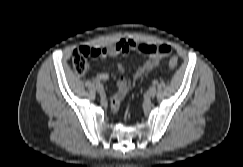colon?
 <instances>
[{"mask_svg": "<svg viewBox=\"0 0 243 167\" xmlns=\"http://www.w3.org/2000/svg\"><path fill=\"white\" fill-rule=\"evenodd\" d=\"M92 56L91 48L81 47L76 49L72 54V65L75 72L79 75H84L89 69V57ZM178 65L176 57L169 60V67L175 69Z\"/></svg>", "mask_w": 243, "mask_h": 167, "instance_id": "1", "label": "colon"}]
</instances>
